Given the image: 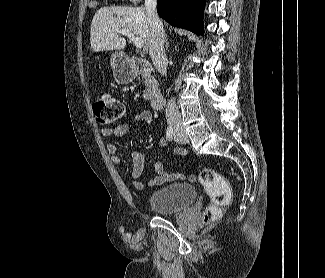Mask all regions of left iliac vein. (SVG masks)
Here are the masks:
<instances>
[{"label": "left iliac vein", "instance_id": "obj_1", "mask_svg": "<svg viewBox=\"0 0 325 278\" xmlns=\"http://www.w3.org/2000/svg\"><path fill=\"white\" fill-rule=\"evenodd\" d=\"M174 140L177 143L185 144L188 142V136L183 130L177 131L174 135Z\"/></svg>", "mask_w": 325, "mask_h": 278}]
</instances>
